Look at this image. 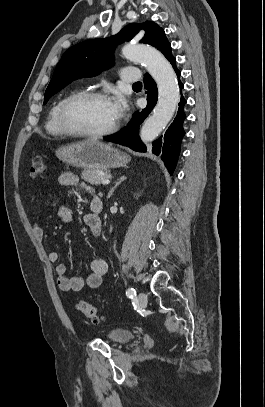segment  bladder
I'll use <instances>...</instances> for the list:
<instances>
[{
	"instance_id": "obj_1",
	"label": "bladder",
	"mask_w": 265,
	"mask_h": 407,
	"mask_svg": "<svg viewBox=\"0 0 265 407\" xmlns=\"http://www.w3.org/2000/svg\"><path fill=\"white\" fill-rule=\"evenodd\" d=\"M133 332L130 330L115 328L108 333L109 339L116 343H126L133 338Z\"/></svg>"
}]
</instances>
